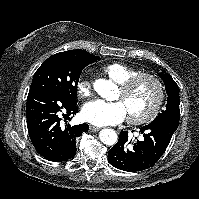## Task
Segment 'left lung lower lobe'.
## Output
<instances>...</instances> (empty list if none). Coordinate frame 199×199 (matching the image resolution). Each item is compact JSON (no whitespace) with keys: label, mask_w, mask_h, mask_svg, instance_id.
I'll list each match as a JSON object with an SVG mask.
<instances>
[{"label":"left lung lower lobe","mask_w":199,"mask_h":199,"mask_svg":"<svg viewBox=\"0 0 199 199\" xmlns=\"http://www.w3.org/2000/svg\"><path fill=\"white\" fill-rule=\"evenodd\" d=\"M178 125L152 121L140 128L141 140L130 141L128 132L121 131L118 142L108 151V161L114 167L135 172L153 166L165 152Z\"/></svg>","instance_id":"1"}]
</instances>
